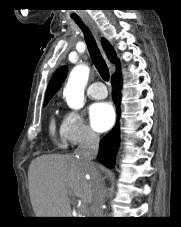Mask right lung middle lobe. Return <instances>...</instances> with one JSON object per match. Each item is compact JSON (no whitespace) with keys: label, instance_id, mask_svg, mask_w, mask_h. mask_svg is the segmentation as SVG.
<instances>
[{"label":"right lung middle lobe","instance_id":"obj_1","mask_svg":"<svg viewBox=\"0 0 181 227\" xmlns=\"http://www.w3.org/2000/svg\"><path fill=\"white\" fill-rule=\"evenodd\" d=\"M47 104V102H44V105H46Z\"/></svg>","mask_w":181,"mask_h":227}]
</instances>
